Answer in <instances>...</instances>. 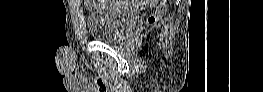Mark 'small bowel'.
<instances>
[{
  "label": "small bowel",
  "mask_w": 263,
  "mask_h": 92,
  "mask_svg": "<svg viewBox=\"0 0 263 92\" xmlns=\"http://www.w3.org/2000/svg\"><path fill=\"white\" fill-rule=\"evenodd\" d=\"M99 1H94V0H90V1H85L86 7L87 8H93L94 5H96ZM150 5H153V3H149Z\"/></svg>",
  "instance_id": "obj_1"
}]
</instances>
